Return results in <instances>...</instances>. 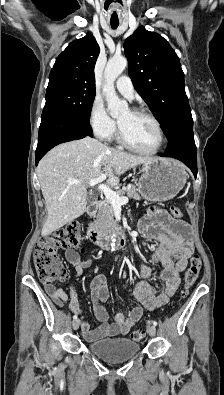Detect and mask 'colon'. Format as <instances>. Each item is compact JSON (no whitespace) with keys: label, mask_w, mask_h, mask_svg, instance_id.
Here are the masks:
<instances>
[{"label":"colon","mask_w":224,"mask_h":395,"mask_svg":"<svg viewBox=\"0 0 224 395\" xmlns=\"http://www.w3.org/2000/svg\"><path fill=\"white\" fill-rule=\"evenodd\" d=\"M170 210L176 218L183 216L182 210L177 206H172ZM80 243V229L75 224H69L41 237L34 251V264L39 279L43 283L65 281L68 272L58 255V249L78 248ZM200 269L201 259L195 254L191 257L190 264L185 272L184 285L180 291L181 298L186 297L190 288L198 279ZM144 338L145 332L142 329L134 330L131 333V339L134 341H142Z\"/></svg>","instance_id":"5ec220e1"}]
</instances>
